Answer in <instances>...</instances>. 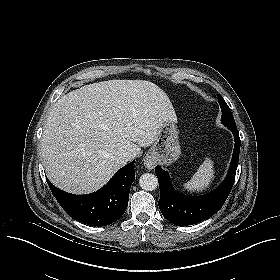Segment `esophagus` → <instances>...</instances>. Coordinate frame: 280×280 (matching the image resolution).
Wrapping results in <instances>:
<instances>
[{
	"mask_svg": "<svg viewBox=\"0 0 280 280\" xmlns=\"http://www.w3.org/2000/svg\"><path fill=\"white\" fill-rule=\"evenodd\" d=\"M156 165V158L152 153H147L144 157V166L148 170H152Z\"/></svg>",
	"mask_w": 280,
	"mask_h": 280,
	"instance_id": "esophagus-1",
	"label": "esophagus"
}]
</instances>
